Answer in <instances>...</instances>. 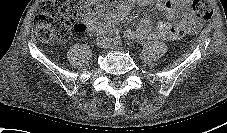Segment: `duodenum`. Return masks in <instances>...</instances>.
<instances>
[{
    "label": "duodenum",
    "mask_w": 227,
    "mask_h": 133,
    "mask_svg": "<svg viewBox=\"0 0 227 133\" xmlns=\"http://www.w3.org/2000/svg\"><path fill=\"white\" fill-rule=\"evenodd\" d=\"M105 30L106 31H112V28L111 27H106Z\"/></svg>",
    "instance_id": "obj_1"
}]
</instances>
